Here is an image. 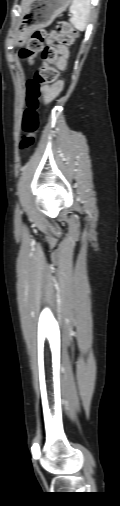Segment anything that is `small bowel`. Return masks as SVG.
Returning a JSON list of instances; mask_svg holds the SVG:
<instances>
[{
    "mask_svg": "<svg viewBox=\"0 0 120 506\" xmlns=\"http://www.w3.org/2000/svg\"><path fill=\"white\" fill-rule=\"evenodd\" d=\"M54 37H55V33L54 32H50L47 35V38L49 40H52ZM60 52H61L62 55L65 56L67 54V49L65 47H61L60 48ZM64 65H65L64 61H61L59 63L60 67H63ZM62 88H63V82L62 81H57L56 83H54L51 86H44L43 87V91H44V100H45V102L52 101L60 93V91L62 90Z\"/></svg>",
    "mask_w": 120,
    "mask_h": 506,
    "instance_id": "c3829d8e",
    "label": "small bowel"
}]
</instances>
